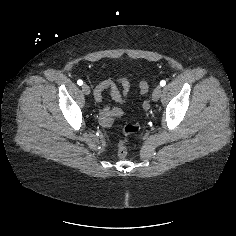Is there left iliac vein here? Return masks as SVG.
<instances>
[{"label":"left iliac vein","mask_w":236,"mask_h":236,"mask_svg":"<svg viewBox=\"0 0 236 236\" xmlns=\"http://www.w3.org/2000/svg\"><path fill=\"white\" fill-rule=\"evenodd\" d=\"M161 94H162V87L158 85L153 90L152 99L154 101H157L161 97Z\"/></svg>","instance_id":"left-iliac-vein-1"}]
</instances>
